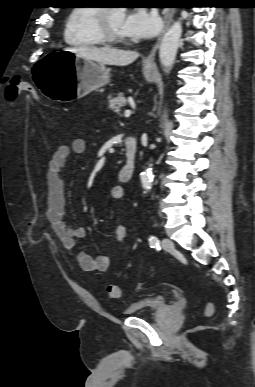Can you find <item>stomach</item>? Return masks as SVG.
Returning a JSON list of instances; mask_svg holds the SVG:
<instances>
[{
  "mask_svg": "<svg viewBox=\"0 0 255 387\" xmlns=\"http://www.w3.org/2000/svg\"><path fill=\"white\" fill-rule=\"evenodd\" d=\"M48 55L33 59L30 66V82L40 87L45 99H58L62 103L80 98L110 81V69L91 60L78 57L65 46H46ZM153 64H145L143 73L147 81H153Z\"/></svg>",
  "mask_w": 255,
  "mask_h": 387,
  "instance_id": "obj_1",
  "label": "stomach"
}]
</instances>
